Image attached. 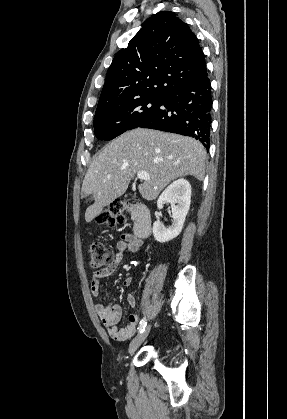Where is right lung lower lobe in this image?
I'll list each match as a JSON object with an SVG mask.
<instances>
[{
    "label": "right lung lower lobe",
    "instance_id": "obj_1",
    "mask_svg": "<svg viewBox=\"0 0 287 419\" xmlns=\"http://www.w3.org/2000/svg\"><path fill=\"white\" fill-rule=\"evenodd\" d=\"M211 110V83L206 74L165 94L156 111L139 127L191 136L208 150Z\"/></svg>",
    "mask_w": 287,
    "mask_h": 419
}]
</instances>
